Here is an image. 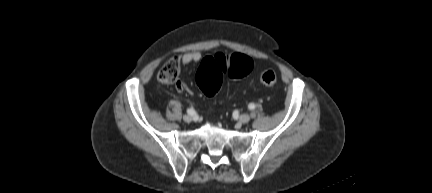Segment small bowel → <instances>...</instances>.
Segmentation results:
<instances>
[{
	"mask_svg": "<svg viewBox=\"0 0 432 193\" xmlns=\"http://www.w3.org/2000/svg\"><path fill=\"white\" fill-rule=\"evenodd\" d=\"M201 57H202V55H201V53L199 51H192V52L185 53L182 56L181 60H182V63L184 65H189V64H192V63L199 62L201 60ZM183 86L184 85H183L182 82H178L177 83V88L178 89H182Z\"/></svg>",
	"mask_w": 432,
	"mask_h": 193,
	"instance_id": "1",
	"label": "small bowel"
}]
</instances>
